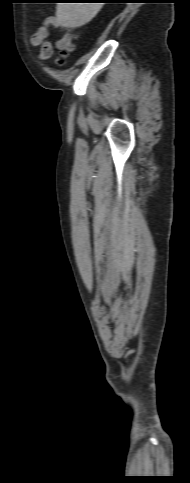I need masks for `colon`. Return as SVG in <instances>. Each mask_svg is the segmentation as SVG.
Wrapping results in <instances>:
<instances>
[{"label": "colon", "instance_id": "obj_1", "mask_svg": "<svg viewBox=\"0 0 190 483\" xmlns=\"http://www.w3.org/2000/svg\"><path fill=\"white\" fill-rule=\"evenodd\" d=\"M71 49H72V47H69L68 48V50H71ZM59 63L61 64L62 63V60H60Z\"/></svg>", "mask_w": 190, "mask_h": 483}]
</instances>
